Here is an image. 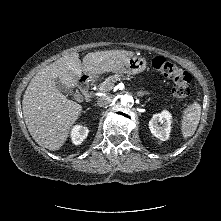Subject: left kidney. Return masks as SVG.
Listing matches in <instances>:
<instances>
[{"mask_svg": "<svg viewBox=\"0 0 221 221\" xmlns=\"http://www.w3.org/2000/svg\"><path fill=\"white\" fill-rule=\"evenodd\" d=\"M171 119V114L166 110L154 114L149 121V129L151 133L161 141L168 140L171 131ZM159 122L161 125L158 124Z\"/></svg>", "mask_w": 221, "mask_h": 221, "instance_id": "5707ae66", "label": "left kidney"}]
</instances>
